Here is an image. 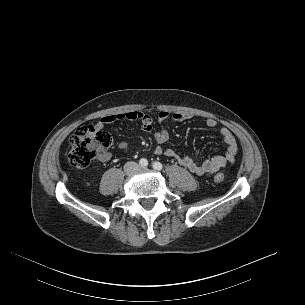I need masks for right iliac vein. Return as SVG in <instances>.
Wrapping results in <instances>:
<instances>
[{
	"instance_id": "63e3f726",
	"label": "right iliac vein",
	"mask_w": 305,
	"mask_h": 305,
	"mask_svg": "<svg viewBox=\"0 0 305 305\" xmlns=\"http://www.w3.org/2000/svg\"><path fill=\"white\" fill-rule=\"evenodd\" d=\"M133 171V168H130V172H132Z\"/></svg>"
}]
</instances>
